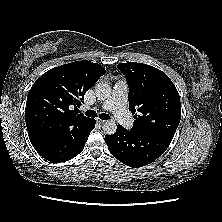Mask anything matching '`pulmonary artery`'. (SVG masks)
I'll return each mask as SVG.
<instances>
[{"mask_svg":"<svg viewBox=\"0 0 222 222\" xmlns=\"http://www.w3.org/2000/svg\"><path fill=\"white\" fill-rule=\"evenodd\" d=\"M128 87L125 81L119 80L113 87L111 96L102 103L101 107L104 110H110L114 113V116L118 123L126 128H131L133 121L129 116L126 104H127Z\"/></svg>","mask_w":222,"mask_h":222,"instance_id":"pulmonary-artery-1","label":"pulmonary artery"}]
</instances>
